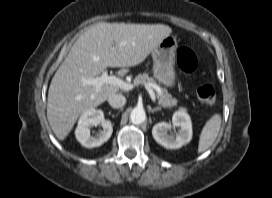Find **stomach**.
Instances as JSON below:
<instances>
[{
	"mask_svg": "<svg viewBox=\"0 0 272 198\" xmlns=\"http://www.w3.org/2000/svg\"><path fill=\"white\" fill-rule=\"evenodd\" d=\"M177 46L176 38L168 36L151 52L154 77L168 87H172L176 81L174 64Z\"/></svg>",
	"mask_w": 272,
	"mask_h": 198,
	"instance_id": "1",
	"label": "stomach"
}]
</instances>
